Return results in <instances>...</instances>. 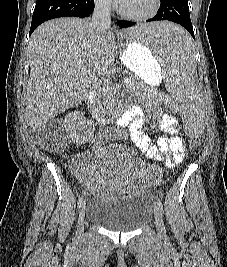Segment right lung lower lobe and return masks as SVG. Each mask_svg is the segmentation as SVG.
I'll return each mask as SVG.
<instances>
[{"instance_id":"right-lung-lower-lobe-1","label":"right lung lower lobe","mask_w":227,"mask_h":267,"mask_svg":"<svg viewBox=\"0 0 227 267\" xmlns=\"http://www.w3.org/2000/svg\"><path fill=\"white\" fill-rule=\"evenodd\" d=\"M93 10L94 0H37L30 35L47 20L65 16L88 17Z\"/></svg>"}]
</instances>
